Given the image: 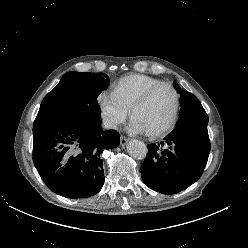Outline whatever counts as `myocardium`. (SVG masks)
<instances>
[{"instance_id":"myocardium-1","label":"myocardium","mask_w":248,"mask_h":248,"mask_svg":"<svg viewBox=\"0 0 248 248\" xmlns=\"http://www.w3.org/2000/svg\"><path fill=\"white\" fill-rule=\"evenodd\" d=\"M162 87H169L173 93H174V97H175V102H174V108H173V112L172 115L169 119V121L167 122V124L165 126H163L161 129L155 131V132H151V133H146L147 136L151 137V138H158L163 136L164 134L168 133L175 125L177 118H178V113H179V108H180V95L179 92L177 91V89L170 83L167 82H161L151 88H149L142 96L141 98L134 104V106L132 107L131 111H130V117L133 120L135 114L141 110L150 100L151 96L160 88Z\"/></svg>"}]
</instances>
